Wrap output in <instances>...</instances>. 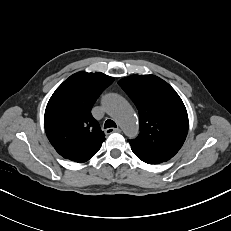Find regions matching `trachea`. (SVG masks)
<instances>
[{"instance_id":"3493384b","label":"trachea","mask_w":231,"mask_h":231,"mask_svg":"<svg viewBox=\"0 0 231 231\" xmlns=\"http://www.w3.org/2000/svg\"><path fill=\"white\" fill-rule=\"evenodd\" d=\"M111 127H117L116 123L113 120L108 119L104 124V129Z\"/></svg>"}]
</instances>
